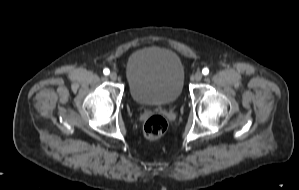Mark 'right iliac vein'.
Returning a JSON list of instances; mask_svg holds the SVG:
<instances>
[{
  "label": "right iliac vein",
  "instance_id": "63e3f726",
  "mask_svg": "<svg viewBox=\"0 0 299 190\" xmlns=\"http://www.w3.org/2000/svg\"><path fill=\"white\" fill-rule=\"evenodd\" d=\"M110 79L115 81L117 79V73L116 72H111L109 75Z\"/></svg>",
  "mask_w": 299,
  "mask_h": 190
}]
</instances>
